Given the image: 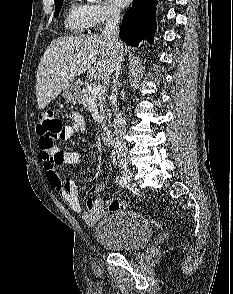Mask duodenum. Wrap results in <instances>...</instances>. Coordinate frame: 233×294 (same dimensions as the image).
Masks as SVG:
<instances>
[{
	"label": "duodenum",
	"instance_id": "1",
	"mask_svg": "<svg viewBox=\"0 0 233 294\" xmlns=\"http://www.w3.org/2000/svg\"><path fill=\"white\" fill-rule=\"evenodd\" d=\"M101 137H102V141L105 145L110 146L114 143L113 136H112L111 132L108 130H103Z\"/></svg>",
	"mask_w": 233,
	"mask_h": 294
}]
</instances>
